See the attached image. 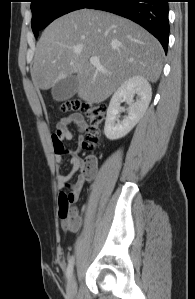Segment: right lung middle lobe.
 Listing matches in <instances>:
<instances>
[{"mask_svg":"<svg viewBox=\"0 0 195 299\" xmlns=\"http://www.w3.org/2000/svg\"><path fill=\"white\" fill-rule=\"evenodd\" d=\"M91 0H32V30L35 37L39 31L56 18L84 8Z\"/></svg>","mask_w":195,"mask_h":299,"instance_id":"obj_1","label":"right lung middle lobe"}]
</instances>
